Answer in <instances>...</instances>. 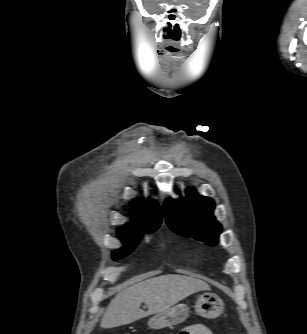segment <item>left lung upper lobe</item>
<instances>
[{
    "label": "left lung upper lobe",
    "instance_id": "5c2ea615",
    "mask_svg": "<svg viewBox=\"0 0 307 334\" xmlns=\"http://www.w3.org/2000/svg\"><path fill=\"white\" fill-rule=\"evenodd\" d=\"M214 206L212 199L191 190L186 198L167 199L163 211L172 231L214 246L222 230L212 214Z\"/></svg>",
    "mask_w": 307,
    "mask_h": 334
}]
</instances>
